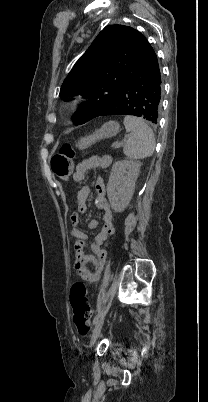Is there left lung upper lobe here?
Segmentation results:
<instances>
[{"instance_id":"obj_1","label":"left lung upper lobe","mask_w":208,"mask_h":402,"mask_svg":"<svg viewBox=\"0 0 208 402\" xmlns=\"http://www.w3.org/2000/svg\"><path fill=\"white\" fill-rule=\"evenodd\" d=\"M132 27L106 26L65 78L62 99L82 95L88 99L75 122L84 124L97 117L117 97L123 84L136 69V40Z\"/></svg>"}]
</instances>
